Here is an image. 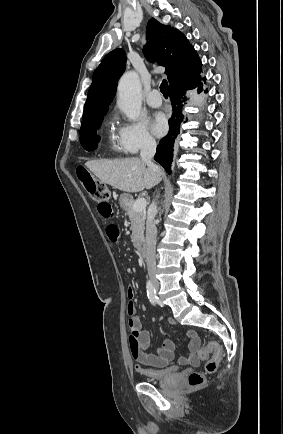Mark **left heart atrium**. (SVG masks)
<instances>
[{"label":"left heart atrium","mask_w":283,"mask_h":434,"mask_svg":"<svg viewBox=\"0 0 283 434\" xmlns=\"http://www.w3.org/2000/svg\"><path fill=\"white\" fill-rule=\"evenodd\" d=\"M151 128L155 135L161 136L167 130V120L163 113H155L151 122Z\"/></svg>","instance_id":"obj_1"}]
</instances>
